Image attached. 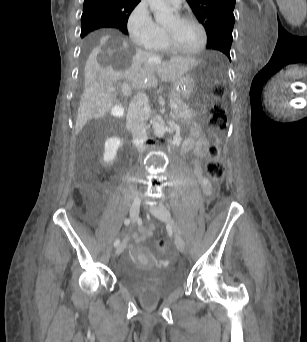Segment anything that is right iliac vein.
Here are the masks:
<instances>
[{
	"mask_svg": "<svg viewBox=\"0 0 307 342\" xmlns=\"http://www.w3.org/2000/svg\"><path fill=\"white\" fill-rule=\"evenodd\" d=\"M140 204H141V200L139 198H135L131 204L130 217H131L133 222H136V220L138 219L139 212H140ZM125 246H126V241L121 243L116 248V251H115L116 255H119L121 252H123Z\"/></svg>",
	"mask_w": 307,
	"mask_h": 342,
	"instance_id": "63e3f726",
	"label": "right iliac vein"
}]
</instances>
